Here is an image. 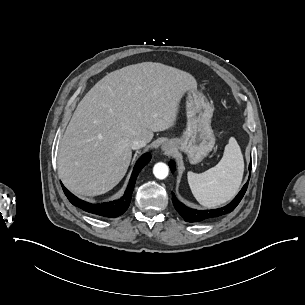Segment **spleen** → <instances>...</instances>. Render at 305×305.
I'll list each match as a JSON object with an SVG mask.
<instances>
[{
	"instance_id": "obj_1",
	"label": "spleen",
	"mask_w": 305,
	"mask_h": 305,
	"mask_svg": "<svg viewBox=\"0 0 305 305\" xmlns=\"http://www.w3.org/2000/svg\"><path fill=\"white\" fill-rule=\"evenodd\" d=\"M244 172L241 149L230 137L220 162L209 170L197 174L187 173L190 189L196 200L207 208H215L230 201L239 191Z\"/></svg>"
}]
</instances>
